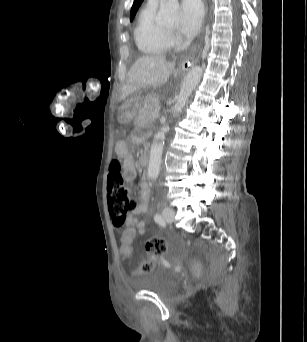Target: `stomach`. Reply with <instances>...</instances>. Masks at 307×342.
<instances>
[{"label": "stomach", "mask_w": 307, "mask_h": 342, "mask_svg": "<svg viewBox=\"0 0 307 342\" xmlns=\"http://www.w3.org/2000/svg\"><path fill=\"white\" fill-rule=\"evenodd\" d=\"M179 70H182L180 68ZM140 104L138 99L131 98L125 101L118 111V121L121 124H127L132 121L138 114Z\"/></svg>", "instance_id": "stomach-1"}]
</instances>
